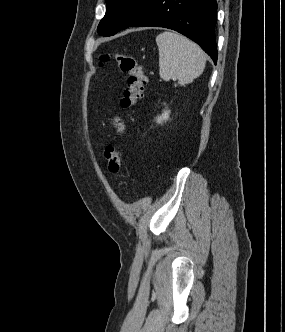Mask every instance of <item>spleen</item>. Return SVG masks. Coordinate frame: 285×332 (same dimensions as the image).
<instances>
[{"instance_id":"3e777b00","label":"spleen","mask_w":285,"mask_h":332,"mask_svg":"<svg viewBox=\"0 0 285 332\" xmlns=\"http://www.w3.org/2000/svg\"><path fill=\"white\" fill-rule=\"evenodd\" d=\"M159 50V75L164 81L178 80L182 86L192 83L205 68L206 55L193 41L171 31L156 37Z\"/></svg>"}]
</instances>
